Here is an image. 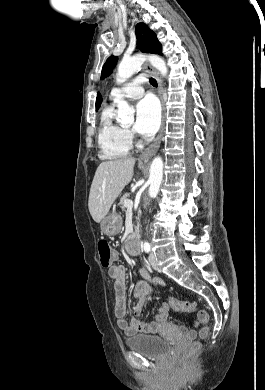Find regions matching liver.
<instances>
[{"instance_id":"1","label":"liver","mask_w":265,"mask_h":390,"mask_svg":"<svg viewBox=\"0 0 265 390\" xmlns=\"http://www.w3.org/2000/svg\"><path fill=\"white\" fill-rule=\"evenodd\" d=\"M135 158L102 162L95 172L90 188L88 207L96 223L108 214L112 204L133 177Z\"/></svg>"}]
</instances>
